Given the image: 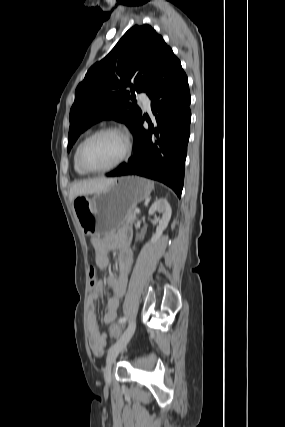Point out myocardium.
Segmentation results:
<instances>
[{"label":"myocardium","mask_w":285,"mask_h":427,"mask_svg":"<svg viewBox=\"0 0 285 427\" xmlns=\"http://www.w3.org/2000/svg\"><path fill=\"white\" fill-rule=\"evenodd\" d=\"M105 133H118L120 135H122L125 139L126 142V146H125V150L123 152V154L121 155V157L115 161L113 164L103 167V168H98V169H94V168H90L88 167L85 162H84V150L86 148V146L96 137L105 134ZM132 138L130 136V134L125 131L124 129L117 127V126H105L102 127L96 131H94L93 133L89 134L80 144L79 149H78V155H77V159H78V164L80 166V168L82 170H84L86 173H104V172H108L110 170H113L115 168H117L118 166H120L122 163H124L128 157L131 154L132 151Z\"/></svg>","instance_id":"myocardium-1"}]
</instances>
